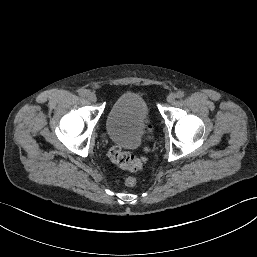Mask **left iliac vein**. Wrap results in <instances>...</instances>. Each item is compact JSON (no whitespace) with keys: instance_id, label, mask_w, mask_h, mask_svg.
<instances>
[{"instance_id":"4c4485c4","label":"left iliac vein","mask_w":257,"mask_h":257,"mask_svg":"<svg viewBox=\"0 0 257 257\" xmlns=\"http://www.w3.org/2000/svg\"><path fill=\"white\" fill-rule=\"evenodd\" d=\"M175 98H176V95L174 93H170L168 96H167V102L168 103H173L175 101Z\"/></svg>"}]
</instances>
